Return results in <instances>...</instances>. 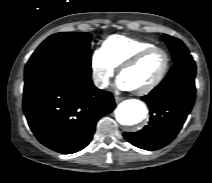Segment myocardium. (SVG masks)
I'll return each instance as SVG.
<instances>
[{
	"instance_id": "f54148a6",
	"label": "myocardium",
	"mask_w": 212,
	"mask_h": 183,
	"mask_svg": "<svg viewBox=\"0 0 212 183\" xmlns=\"http://www.w3.org/2000/svg\"><path fill=\"white\" fill-rule=\"evenodd\" d=\"M155 51H162L165 57L164 61V66L158 77L149 83L148 85L142 87V88H137V89H131L135 94L137 95H145L150 92H152L154 89H156L162 81L165 79L169 69H170V64H171V57L168 52V50L162 46H152L148 47L144 50H141L131 58H129L127 61H125L123 64H121L119 68V76L123 74L124 71L136 66L139 62H141L145 57H147L149 54Z\"/></svg>"
}]
</instances>
